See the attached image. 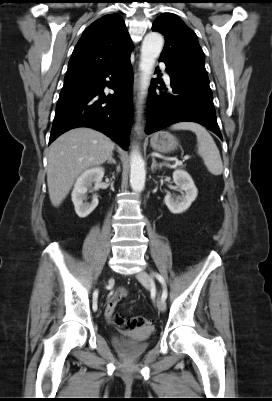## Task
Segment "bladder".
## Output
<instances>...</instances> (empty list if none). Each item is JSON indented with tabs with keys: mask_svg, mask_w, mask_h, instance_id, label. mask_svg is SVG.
<instances>
[{
	"mask_svg": "<svg viewBox=\"0 0 272 401\" xmlns=\"http://www.w3.org/2000/svg\"><path fill=\"white\" fill-rule=\"evenodd\" d=\"M154 329L150 326L136 328L127 334L113 335L111 342L113 347L124 357H137L148 349V337Z\"/></svg>",
	"mask_w": 272,
	"mask_h": 401,
	"instance_id": "31cf9c89",
	"label": "bladder"
}]
</instances>
